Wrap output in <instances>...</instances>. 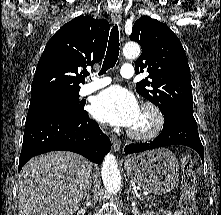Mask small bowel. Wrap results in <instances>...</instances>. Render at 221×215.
Listing matches in <instances>:
<instances>
[{"instance_id":"1","label":"small bowel","mask_w":221,"mask_h":215,"mask_svg":"<svg viewBox=\"0 0 221 215\" xmlns=\"http://www.w3.org/2000/svg\"><path fill=\"white\" fill-rule=\"evenodd\" d=\"M144 215H183V214L179 210H175V211L161 210L159 212L147 211L144 213Z\"/></svg>"}]
</instances>
